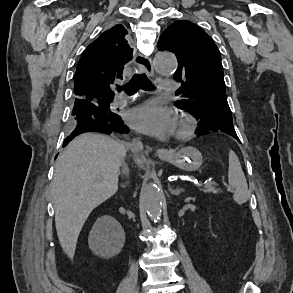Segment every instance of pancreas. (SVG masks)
Here are the masks:
<instances>
[{
  "label": "pancreas",
  "mask_w": 293,
  "mask_h": 293,
  "mask_svg": "<svg viewBox=\"0 0 293 293\" xmlns=\"http://www.w3.org/2000/svg\"><path fill=\"white\" fill-rule=\"evenodd\" d=\"M200 190L203 191L204 193H213V194H218L220 192V190L216 187V184L214 182H208Z\"/></svg>",
  "instance_id": "obj_1"
}]
</instances>
